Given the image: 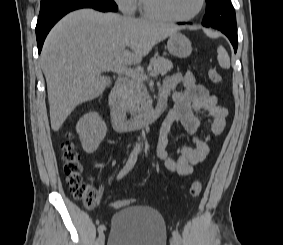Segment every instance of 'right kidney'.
<instances>
[{
  "mask_svg": "<svg viewBox=\"0 0 283 245\" xmlns=\"http://www.w3.org/2000/svg\"><path fill=\"white\" fill-rule=\"evenodd\" d=\"M76 130L79 134L84 151L93 153L104 139L107 127L98 113L90 112L80 118Z\"/></svg>",
  "mask_w": 283,
  "mask_h": 245,
  "instance_id": "obj_1",
  "label": "right kidney"
}]
</instances>
